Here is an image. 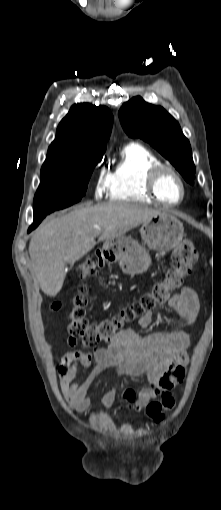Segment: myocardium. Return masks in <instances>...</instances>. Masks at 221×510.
<instances>
[{"label": "myocardium", "instance_id": "f54148a6", "mask_svg": "<svg viewBox=\"0 0 221 510\" xmlns=\"http://www.w3.org/2000/svg\"><path fill=\"white\" fill-rule=\"evenodd\" d=\"M164 173H170L172 174L180 183L181 190H182V196L179 201L171 203L164 201L158 193L157 185ZM145 187L149 194V196L159 205L164 207H175L183 203V201L186 198L187 195V186L186 183L182 177V175L172 166L167 164H159L154 167H152L147 175H146V181H145Z\"/></svg>", "mask_w": 221, "mask_h": 510}]
</instances>
